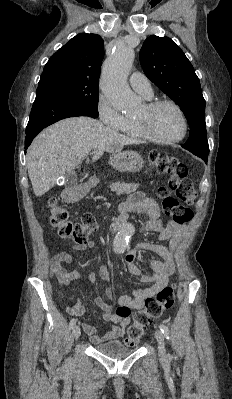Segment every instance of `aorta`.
Instances as JSON below:
<instances>
[{
	"instance_id": "obj_1",
	"label": "aorta",
	"mask_w": 232,
	"mask_h": 399,
	"mask_svg": "<svg viewBox=\"0 0 232 399\" xmlns=\"http://www.w3.org/2000/svg\"><path fill=\"white\" fill-rule=\"evenodd\" d=\"M135 58L133 49L119 46L104 62L101 76V90L111 105L122 111L135 110L140 102L130 89L127 77ZM134 228L126 223L122 226L113 242V250L123 253Z\"/></svg>"
}]
</instances>
